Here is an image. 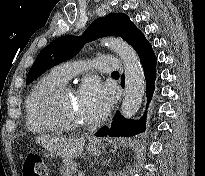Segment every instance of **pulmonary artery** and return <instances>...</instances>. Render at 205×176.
Listing matches in <instances>:
<instances>
[{"label": "pulmonary artery", "instance_id": "1", "mask_svg": "<svg viewBox=\"0 0 205 176\" xmlns=\"http://www.w3.org/2000/svg\"><path fill=\"white\" fill-rule=\"evenodd\" d=\"M95 69L100 74L122 69V59L117 55H101L96 60ZM86 70V66L80 63H62L53 69V73L62 81H67L81 71Z\"/></svg>", "mask_w": 205, "mask_h": 176}]
</instances>
